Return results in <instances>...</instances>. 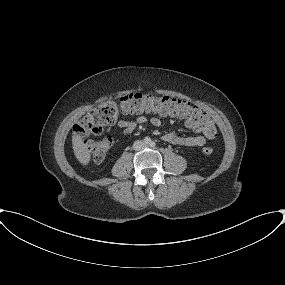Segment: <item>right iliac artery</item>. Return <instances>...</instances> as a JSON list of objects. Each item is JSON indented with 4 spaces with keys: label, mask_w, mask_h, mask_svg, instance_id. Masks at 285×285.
<instances>
[{
    "label": "right iliac artery",
    "mask_w": 285,
    "mask_h": 285,
    "mask_svg": "<svg viewBox=\"0 0 285 285\" xmlns=\"http://www.w3.org/2000/svg\"><path fill=\"white\" fill-rule=\"evenodd\" d=\"M151 142V139L149 137L144 138V143L149 144Z\"/></svg>",
    "instance_id": "1"
}]
</instances>
